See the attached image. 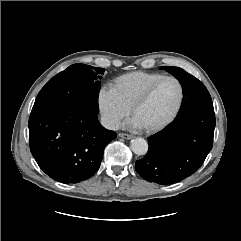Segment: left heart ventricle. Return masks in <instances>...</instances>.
<instances>
[{
  "mask_svg": "<svg viewBox=\"0 0 241 241\" xmlns=\"http://www.w3.org/2000/svg\"><path fill=\"white\" fill-rule=\"evenodd\" d=\"M179 98V87L176 82H162L150 98L134 113V118L143 128L152 127L165 120L175 108Z\"/></svg>",
  "mask_w": 241,
  "mask_h": 241,
  "instance_id": "b2bd125f",
  "label": "left heart ventricle"
}]
</instances>
